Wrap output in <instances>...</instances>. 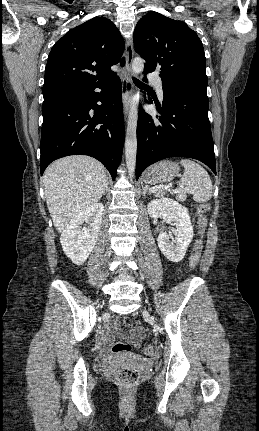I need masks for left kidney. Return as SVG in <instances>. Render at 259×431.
<instances>
[{
	"label": "left kidney",
	"mask_w": 259,
	"mask_h": 431,
	"mask_svg": "<svg viewBox=\"0 0 259 431\" xmlns=\"http://www.w3.org/2000/svg\"><path fill=\"white\" fill-rule=\"evenodd\" d=\"M147 211L150 217H160L174 222L176 226V229L173 230L175 238L160 231L157 242L166 258L172 262L181 261L194 235L188 209L170 198H162L150 201L147 205Z\"/></svg>",
	"instance_id": "1"
}]
</instances>
